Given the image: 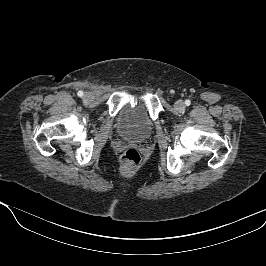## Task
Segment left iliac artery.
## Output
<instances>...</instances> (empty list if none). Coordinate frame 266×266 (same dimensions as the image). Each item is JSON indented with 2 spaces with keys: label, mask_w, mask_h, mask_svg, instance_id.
Listing matches in <instances>:
<instances>
[{
  "label": "left iliac artery",
  "mask_w": 266,
  "mask_h": 266,
  "mask_svg": "<svg viewBox=\"0 0 266 266\" xmlns=\"http://www.w3.org/2000/svg\"><path fill=\"white\" fill-rule=\"evenodd\" d=\"M185 104H186L187 106H189V105L191 104L190 100H186V101H185Z\"/></svg>",
  "instance_id": "1"
}]
</instances>
